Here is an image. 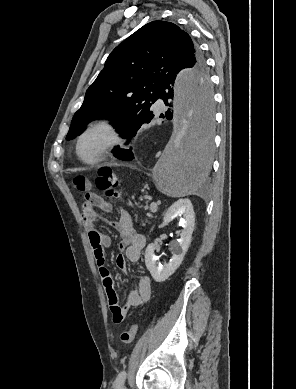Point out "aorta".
Here are the masks:
<instances>
[{"label": "aorta", "mask_w": 296, "mask_h": 389, "mask_svg": "<svg viewBox=\"0 0 296 389\" xmlns=\"http://www.w3.org/2000/svg\"><path fill=\"white\" fill-rule=\"evenodd\" d=\"M175 130L155 167L158 183L173 195L201 189L213 159V84L208 72H181L173 81Z\"/></svg>", "instance_id": "762f6f07"}]
</instances>
